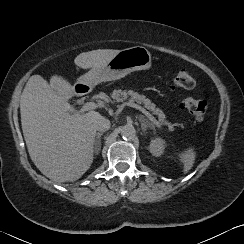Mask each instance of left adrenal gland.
Wrapping results in <instances>:
<instances>
[{"label":"left adrenal gland","mask_w":244,"mask_h":244,"mask_svg":"<svg viewBox=\"0 0 244 244\" xmlns=\"http://www.w3.org/2000/svg\"><path fill=\"white\" fill-rule=\"evenodd\" d=\"M139 122L141 124V128L143 133H146L147 128L155 129L154 125L148 121L143 115H139Z\"/></svg>","instance_id":"1"}]
</instances>
